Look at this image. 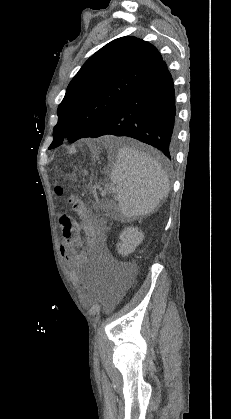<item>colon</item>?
<instances>
[{
  "label": "colon",
  "mask_w": 231,
  "mask_h": 419,
  "mask_svg": "<svg viewBox=\"0 0 231 419\" xmlns=\"http://www.w3.org/2000/svg\"><path fill=\"white\" fill-rule=\"evenodd\" d=\"M57 192L59 194L62 193L60 187H57ZM68 204L70 205L71 210L76 213L82 220V227L86 230L88 241H87V257L92 259L96 256V251L98 250V241L94 239V232L90 227L91 224V216L84 204V202L75 196H70L68 198ZM86 288L88 289L89 293H98L99 292V285L95 284L93 281L87 280L86 281Z\"/></svg>",
  "instance_id": "obj_1"
}]
</instances>
